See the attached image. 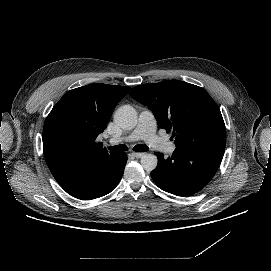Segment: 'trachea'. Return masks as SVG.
Segmentation results:
<instances>
[{
  "instance_id": "3493384b",
  "label": "trachea",
  "mask_w": 271,
  "mask_h": 271,
  "mask_svg": "<svg viewBox=\"0 0 271 271\" xmlns=\"http://www.w3.org/2000/svg\"><path fill=\"white\" fill-rule=\"evenodd\" d=\"M134 151L137 152H146L149 150V147L147 145H136L134 148ZM109 150L113 151V152H123V151H127L128 147L124 144L121 145H116V146H112L109 147Z\"/></svg>"
}]
</instances>
